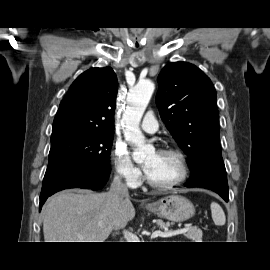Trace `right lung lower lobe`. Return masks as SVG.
<instances>
[{
    "label": "right lung lower lobe",
    "instance_id": "obj_1",
    "mask_svg": "<svg viewBox=\"0 0 270 270\" xmlns=\"http://www.w3.org/2000/svg\"><path fill=\"white\" fill-rule=\"evenodd\" d=\"M110 172L88 170L81 162H72L51 172H46L43 180L39 210L52 194L67 188L101 189Z\"/></svg>",
    "mask_w": 270,
    "mask_h": 270
}]
</instances>
